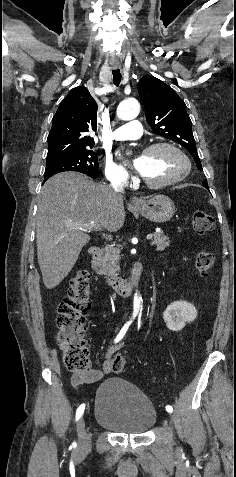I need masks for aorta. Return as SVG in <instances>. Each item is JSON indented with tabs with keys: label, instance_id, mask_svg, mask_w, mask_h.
<instances>
[{
	"label": "aorta",
	"instance_id": "762f6f07",
	"mask_svg": "<svg viewBox=\"0 0 236 477\" xmlns=\"http://www.w3.org/2000/svg\"><path fill=\"white\" fill-rule=\"evenodd\" d=\"M140 104L136 99H127L122 101L117 108V116L122 120H132L138 116ZM141 297L138 293L134 295L133 316L135 317L140 309Z\"/></svg>",
	"mask_w": 236,
	"mask_h": 477
}]
</instances>
